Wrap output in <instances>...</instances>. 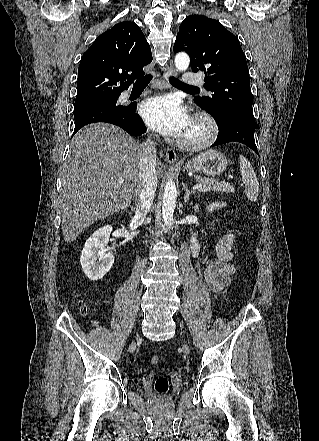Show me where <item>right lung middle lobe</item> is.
<instances>
[{
  "instance_id": "obj_1",
  "label": "right lung middle lobe",
  "mask_w": 319,
  "mask_h": 441,
  "mask_svg": "<svg viewBox=\"0 0 319 441\" xmlns=\"http://www.w3.org/2000/svg\"><path fill=\"white\" fill-rule=\"evenodd\" d=\"M118 97L119 96L97 99V100L75 101L74 113L93 106H104V105L116 106Z\"/></svg>"
}]
</instances>
